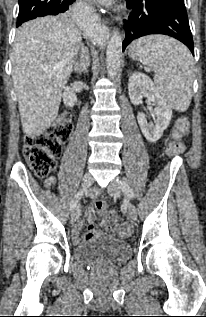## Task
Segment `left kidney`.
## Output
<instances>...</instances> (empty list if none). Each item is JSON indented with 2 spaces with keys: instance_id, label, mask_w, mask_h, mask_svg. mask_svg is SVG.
<instances>
[{
  "instance_id": "left-kidney-1",
  "label": "left kidney",
  "mask_w": 206,
  "mask_h": 317,
  "mask_svg": "<svg viewBox=\"0 0 206 317\" xmlns=\"http://www.w3.org/2000/svg\"><path fill=\"white\" fill-rule=\"evenodd\" d=\"M128 92L133 104L141 103L143 97L156 104V108L152 110L156 115L154 124L149 123L142 112L138 114L137 119L145 138L149 142L158 141L170 123L172 117L170 106L161 97L151 79L144 73L135 72L130 76Z\"/></svg>"
}]
</instances>
